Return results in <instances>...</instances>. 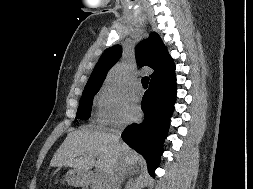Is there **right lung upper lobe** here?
<instances>
[{
	"instance_id": "1",
	"label": "right lung upper lobe",
	"mask_w": 253,
	"mask_h": 189,
	"mask_svg": "<svg viewBox=\"0 0 253 189\" xmlns=\"http://www.w3.org/2000/svg\"><path fill=\"white\" fill-rule=\"evenodd\" d=\"M135 55L140 66L148 65L154 69L153 74L150 75L151 81L175 72L174 62L160 36L155 32L151 33L148 39L138 44ZM120 56V45L108 48L98 60L84 91L100 89L107 72L119 60Z\"/></svg>"
}]
</instances>
